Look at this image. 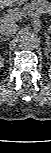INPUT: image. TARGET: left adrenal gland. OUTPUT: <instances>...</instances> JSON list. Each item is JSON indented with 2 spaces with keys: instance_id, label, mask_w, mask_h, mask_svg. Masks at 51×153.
Returning a JSON list of instances; mask_svg holds the SVG:
<instances>
[{
  "instance_id": "obj_1",
  "label": "left adrenal gland",
  "mask_w": 51,
  "mask_h": 153,
  "mask_svg": "<svg viewBox=\"0 0 51 153\" xmlns=\"http://www.w3.org/2000/svg\"><path fill=\"white\" fill-rule=\"evenodd\" d=\"M46 38H47V41H48V46L50 45V36L48 34H46Z\"/></svg>"
}]
</instances>
